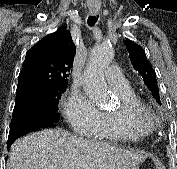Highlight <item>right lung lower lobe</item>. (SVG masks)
I'll return each mask as SVG.
<instances>
[{
	"label": "right lung lower lobe",
	"instance_id": "98d812e1",
	"mask_svg": "<svg viewBox=\"0 0 177 169\" xmlns=\"http://www.w3.org/2000/svg\"><path fill=\"white\" fill-rule=\"evenodd\" d=\"M55 123L56 121L42 116L12 118L7 148L9 149L12 143L20 136L40 128L55 127Z\"/></svg>",
	"mask_w": 177,
	"mask_h": 169
}]
</instances>
